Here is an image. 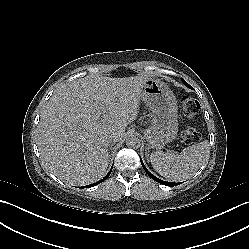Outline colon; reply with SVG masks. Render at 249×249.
<instances>
[{"instance_id":"1","label":"colon","mask_w":249,"mask_h":249,"mask_svg":"<svg viewBox=\"0 0 249 249\" xmlns=\"http://www.w3.org/2000/svg\"><path fill=\"white\" fill-rule=\"evenodd\" d=\"M179 100L183 115L188 121H193L199 112V103L185 92L179 94ZM183 139L188 143L196 142L199 139V133L194 128L188 126L183 132Z\"/></svg>"}]
</instances>
